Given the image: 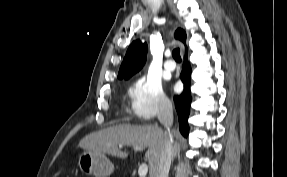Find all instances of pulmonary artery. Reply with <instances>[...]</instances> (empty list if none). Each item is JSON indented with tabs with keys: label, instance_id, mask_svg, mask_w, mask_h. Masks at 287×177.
<instances>
[{
	"label": "pulmonary artery",
	"instance_id": "obj_1",
	"mask_svg": "<svg viewBox=\"0 0 287 177\" xmlns=\"http://www.w3.org/2000/svg\"><path fill=\"white\" fill-rule=\"evenodd\" d=\"M165 56L167 57V60H166V62L164 64L165 69L167 71H171V72L174 71L176 65L171 59H169L170 56H171V53L170 52H165Z\"/></svg>",
	"mask_w": 287,
	"mask_h": 177
}]
</instances>
